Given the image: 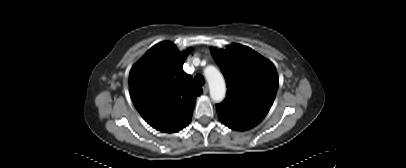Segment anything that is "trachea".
<instances>
[{
	"mask_svg": "<svg viewBox=\"0 0 406 168\" xmlns=\"http://www.w3.org/2000/svg\"><path fill=\"white\" fill-rule=\"evenodd\" d=\"M194 81L198 86H203L205 83L204 77L200 74L195 76Z\"/></svg>",
	"mask_w": 406,
	"mask_h": 168,
	"instance_id": "1",
	"label": "trachea"
}]
</instances>
